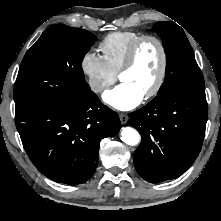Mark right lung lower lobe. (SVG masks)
<instances>
[{"instance_id":"right-lung-lower-lobe-1","label":"right lung lower lobe","mask_w":221,"mask_h":221,"mask_svg":"<svg viewBox=\"0 0 221 221\" xmlns=\"http://www.w3.org/2000/svg\"><path fill=\"white\" fill-rule=\"evenodd\" d=\"M16 127L26 153L42 174L77 185L95 173L101 139L114 137L121 123L117 113L89 91L65 105L16 119Z\"/></svg>"}]
</instances>
